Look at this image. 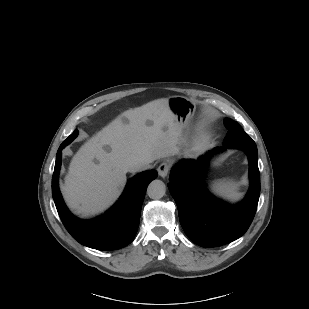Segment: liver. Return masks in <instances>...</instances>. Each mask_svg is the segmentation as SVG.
<instances>
[{
	"instance_id": "obj_1",
	"label": "liver",
	"mask_w": 309,
	"mask_h": 309,
	"mask_svg": "<svg viewBox=\"0 0 309 309\" xmlns=\"http://www.w3.org/2000/svg\"><path fill=\"white\" fill-rule=\"evenodd\" d=\"M179 140L167 99L125 111L73 156L62 186L67 205L82 216L102 212L119 196L134 163L175 154Z\"/></svg>"
}]
</instances>
